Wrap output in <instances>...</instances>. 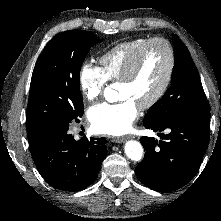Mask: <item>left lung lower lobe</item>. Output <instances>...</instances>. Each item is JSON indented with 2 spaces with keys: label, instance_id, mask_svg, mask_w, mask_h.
Here are the masks:
<instances>
[{
  "label": "left lung lower lobe",
  "instance_id": "0a47b994",
  "mask_svg": "<svg viewBox=\"0 0 221 221\" xmlns=\"http://www.w3.org/2000/svg\"><path fill=\"white\" fill-rule=\"evenodd\" d=\"M210 106L186 109L170 120L147 129L162 132L161 140L142 137L143 161L136 167L138 179L149 188L169 192L186 185L196 174L209 142Z\"/></svg>",
  "mask_w": 221,
  "mask_h": 221
}]
</instances>
